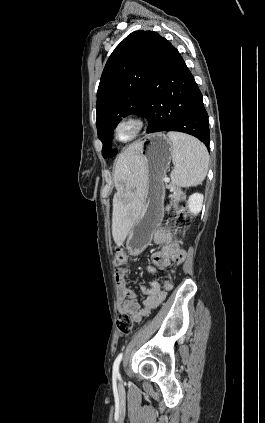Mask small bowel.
Here are the masks:
<instances>
[{"instance_id":"1","label":"small bowel","mask_w":265,"mask_h":423,"mask_svg":"<svg viewBox=\"0 0 265 423\" xmlns=\"http://www.w3.org/2000/svg\"><path fill=\"white\" fill-rule=\"evenodd\" d=\"M153 243L161 249L151 256L152 266H148L149 273H156L158 269L169 267L171 262L182 263L186 257V251L173 238L170 229L161 227L157 229L153 236ZM130 269L123 265L116 271L117 285V310L119 313H127L134 322L139 323L150 311L159 306L166 297L167 291L173 288L172 277H167L162 284L156 281L140 287L144 296L142 303L137 300V293L127 286L126 277Z\"/></svg>"}]
</instances>
